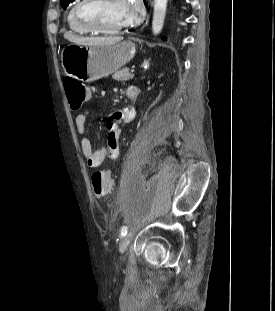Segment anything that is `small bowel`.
<instances>
[{
	"mask_svg": "<svg viewBox=\"0 0 275 311\" xmlns=\"http://www.w3.org/2000/svg\"><path fill=\"white\" fill-rule=\"evenodd\" d=\"M128 98L134 102L139 97V89L132 86L127 90ZM88 111H83L75 118L76 132L81 136L80 146L84 159L89 167L95 168L103 164L107 158H116L119 154V138L123 124L129 123L135 116V107L132 104L121 107L112 113L106 120V140L99 149H94L91 141L86 137V122Z\"/></svg>",
	"mask_w": 275,
	"mask_h": 311,
	"instance_id": "small-bowel-1",
	"label": "small bowel"
}]
</instances>
